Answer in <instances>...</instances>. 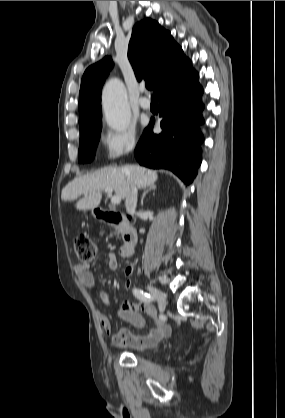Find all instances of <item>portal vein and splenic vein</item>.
<instances>
[{
    "mask_svg": "<svg viewBox=\"0 0 285 418\" xmlns=\"http://www.w3.org/2000/svg\"><path fill=\"white\" fill-rule=\"evenodd\" d=\"M104 191H105V193H107L109 195H112L113 189L108 187V188H105ZM120 202H121V197L120 196L115 195L111 198V203L113 205L119 204Z\"/></svg>",
    "mask_w": 285,
    "mask_h": 418,
    "instance_id": "1",
    "label": "portal vein and splenic vein"
}]
</instances>
